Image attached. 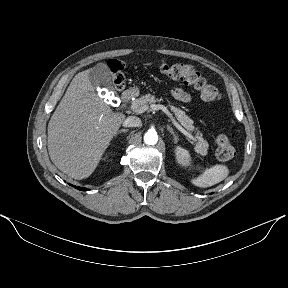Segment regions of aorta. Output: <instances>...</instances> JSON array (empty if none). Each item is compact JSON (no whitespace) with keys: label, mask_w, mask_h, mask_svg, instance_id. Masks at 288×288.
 <instances>
[{"label":"aorta","mask_w":288,"mask_h":288,"mask_svg":"<svg viewBox=\"0 0 288 288\" xmlns=\"http://www.w3.org/2000/svg\"><path fill=\"white\" fill-rule=\"evenodd\" d=\"M158 141V135L155 131H148L144 135V142L147 145H155Z\"/></svg>","instance_id":"762f6f07"}]
</instances>
